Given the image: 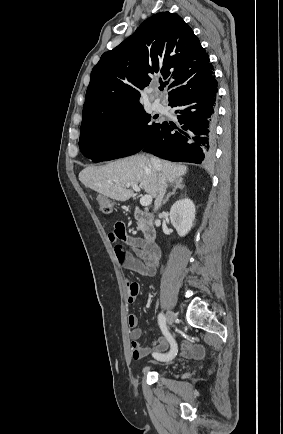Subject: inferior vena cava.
Instances as JSON below:
<instances>
[{
  "label": "inferior vena cava",
  "mask_w": 283,
  "mask_h": 434,
  "mask_svg": "<svg viewBox=\"0 0 283 434\" xmlns=\"http://www.w3.org/2000/svg\"><path fill=\"white\" fill-rule=\"evenodd\" d=\"M151 161L155 167L159 166V163L156 159H151ZM166 188H167L166 179L164 178V176L161 173H159L158 174V192H157V196L155 198L154 211L158 210V208L161 206L164 194L166 192Z\"/></svg>",
  "instance_id": "inferior-vena-cava-1"
}]
</instances>
